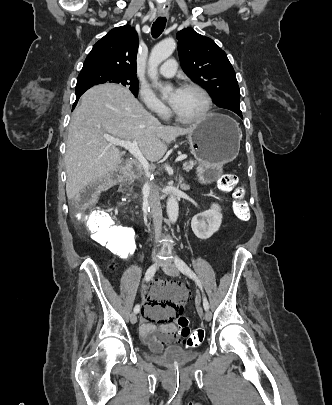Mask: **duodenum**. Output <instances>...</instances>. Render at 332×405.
I'll return each instance as SVG.
<instances>
[{"mask_svg":"<svg viewBox=\"0 0 332 405\" xmlns=\"http://www.w3.org/2000/svg\"><path fill=\"white\" fill-rule=\"evenodd\" d=\"M136 171V167L132 166L131 168L120 172L118 175L120 181H129L133 177L134 172Z\"/></svg>","mask_w":332,"mask_h":405,"instance_id":"1","label":"duodenum"}]
</instances>
